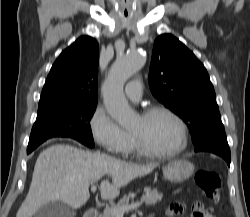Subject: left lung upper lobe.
I'll list each match as a JSON object with an SVG mask.
<instances>
[{
    "label": "left lung upper lobe",
    "instance_id": "1",
    "mask_svg": "<svg viewBox=\"0 0 250 217\" xmlns=\"http://www.w3.org/2000/svg\"><path fill=\"white\" fill-rule=\"evenodd\" d=\"M149 85L152 94L188 125L194 145L224 130L204 65L171 34L154 42Z\"/></svg>",
    "mask_w": 250,
    "mask_h": 217
}]
</instances>
